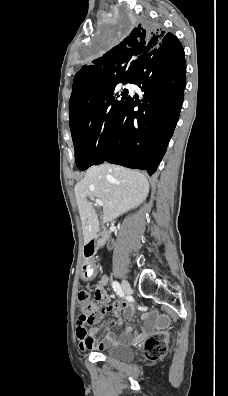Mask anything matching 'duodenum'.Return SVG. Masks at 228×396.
Returning a JSON list of instances; mask_svg holds the SVG:
<instances>
[{
  "instance_id": "1",
  "label": "duodenum",
  "mask_w": 228,
  "mask_h": 396,
  "mask_svg": "<svg viewBox=\"0 0 228 396\" xmlns=\"http://www.w3.org/2000/svg\"><path fill=\"white\" fill-rule=\"evenodd\" d=\"M108 238L109 236L106 232H101L93 237H90L85 243L84 253L91 257L98 248L106 244Z\"/></svg>"
}]
</instances>
